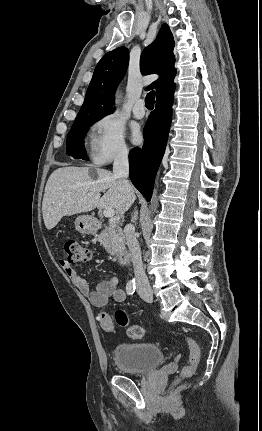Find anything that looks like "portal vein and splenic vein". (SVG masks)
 I'll list each match as a JSON object with an SVG mask.
<instances>
[{
  "label": "portal vein and splenic vein",
  "instance_id": "1",
  "mask_svg": "<svg viewBox=\"0 0 262 431\" xmlns=\"http://www.w3.org/2000/svg\"><path fill=\"white\" fill-rule=\"evenodd\" d=\"M103 215L107 218H111L112 222L115 221V210L113 208H106L103 211Z\"/></svg>",
  "mask_w": 262,
  "mask_h": 431
}]
</instances>
